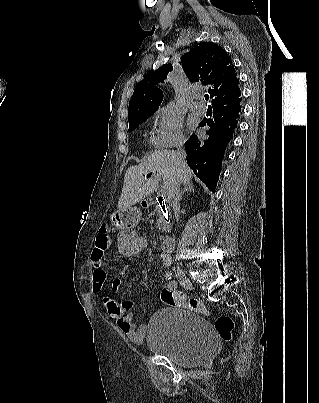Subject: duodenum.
I'll return each mask as SVG.
<instances>
[{"mask_svg":"<svg viewBox=\"0 0 319 403\" xmlns=\"http://www.w3.org/2000/svg\"><path fill=\"white\" fill-rule=\"evenodd\" d=\"M158 203L163 205V200L158 199ZM174 248V241L173 238L169 235H165L163 238V249L165 250V253H170Z\"/></svg>","mask_w":319,"mask_h":403,"instance_id":"410a0bca","label":"duodenum"}]
</instances>
